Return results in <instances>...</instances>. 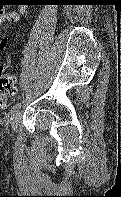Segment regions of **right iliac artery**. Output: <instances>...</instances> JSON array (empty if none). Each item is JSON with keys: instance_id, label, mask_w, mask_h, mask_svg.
<instances>
[{"instance_id": "right-iliac-artery-1", "label": "right iliac artery", "mask_w": 121, "mask_h": 197, "mask_svg": "<svg viewBox=\"0 0 121 197\" xmlns=\"http://www.w3.org/2000/svg\"><path fill=\"white\" fill-rule=\"evenodd\" d=\"M20 107H21L20 102H17L15 105H13L10 111L11 115H14L19 110Z\"/></svg>"}]
</instances>
